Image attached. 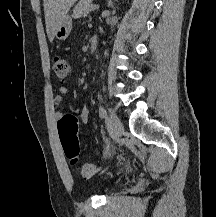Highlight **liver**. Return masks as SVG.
Masks as SVG:
<instances>
[{"mask_svg":"<svg viewBox=\"0 0 216 217\" xmlns=\"http://www.w3.org/2000/svg\"><path fill=\"white\" fill-rule=\"evenodd\" d=\"M77 0H43L48 38L53 40L55 31Z\"/></svg>","mask_w":216,"mask_h":217,"instance_id":"obj_1","label":"liver"}]
</instances>
